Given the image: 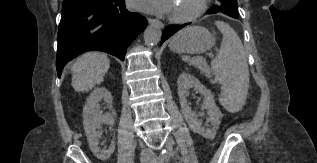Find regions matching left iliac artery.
Here are the masks:
<instances>
[{"mask_svg":"<svg viewBox=\"0 0 317 163\" xmlns=\"http://www.w3.org/2000/svg\"><path fill=\"white\" fill-rule=\"evenodd\" d=\"M168 159H169V157H168V156H166V157H165V161L167 162V161H168Z\"/></svg>","mask_w":317,"mask_h":163,"instance_id":"44dca946","label":"left iliac artery"}]
</instances>
